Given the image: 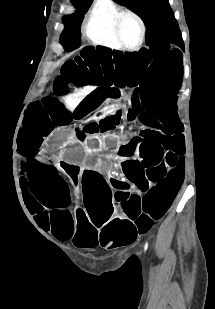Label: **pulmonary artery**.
I'll return each mask as SVG.
<instances>
[{"label":"pulmonary artery","instance_id":"1","mask_svg":"<svg viewBox=\"0 0 215 309\" xmlns=\"http://www.w3.org/2000/svg\"><path fill=\"white\" fill-rule=\"evenodd\" d=\"M112 6V1L100 0L97 3V9L94 11L95 16H104L105 11H107L108 8H112Z\"/></svg>","mask_w":215,"mask_h":309}]
</instances>
